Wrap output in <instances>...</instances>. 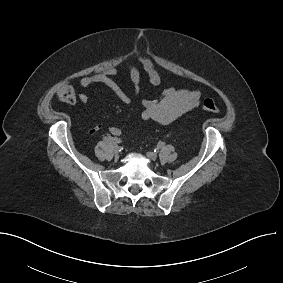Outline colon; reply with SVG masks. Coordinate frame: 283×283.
Returning a JSON list of instances; mask_svg holds the SVG:
<instances>
[{
	"label": "colon",
	"instance_id": "colon-1",
	"mask_svg": "<svg viewBox=\"0 0 283 283\" xmlns=\"http://www.w3.org/2000/svg\"><path fill=\"white\" fill-rule=\"evenodd\" d=\"M57 97L65 103H73L75 101L76 95L73 87L70 84L61 85L57 92ZM203 110L210 113H218L219 108L212 99H204L201 103Z\"/></svg>",
	"mask_w": 283,
	"mask_h": 283
}]
</instances>
